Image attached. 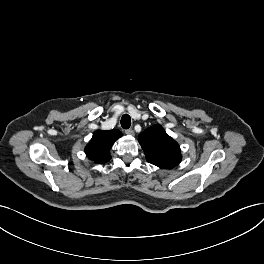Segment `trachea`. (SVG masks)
Masks as SVG:
<instances>
[{"label":"trachea","instance_id":"1","mask_svg":"<svg viewBox=\"0 0 264 264\" xmlns=\"http://www.w3.org/2000/svg\"><path fill=\"white\" fill-rule=\"evenodd\" d=\"M121 126L123 129H129L131 126V118L128 114H124L121 118Z\"/></svg>","mask_w":264,"mask_h":264}]
</instances>
